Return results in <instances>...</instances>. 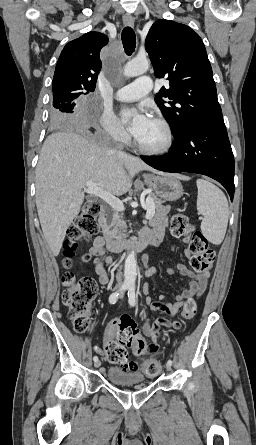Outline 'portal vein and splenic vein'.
<instances>
[{
    "mask_svg": "<svg viewBox=\"0 0 256 445\" xmlns=\"http://www.w3.org/2000/svg\"><path fill=\"white\" fill-rule=\"evenodd\" d=\"M84 192L88 194H93L95 196H98L102 200H104L106 203H108L113 209L116 211H124L125 207L122 201H120L118 198H116L111 193L103 190L102 188L98 187L96 184H94L92 181L86 182V188H84ZM147 204V212H146V219H152L155 215V208L153 205V201L148 198L146 200Z\"/></svg>",
    "mask_w": 256,
    "mask_h": 445,
    "instance_id": "18ae733b",
    "label": "portal vein and splenic vein"
}]
</instances>
